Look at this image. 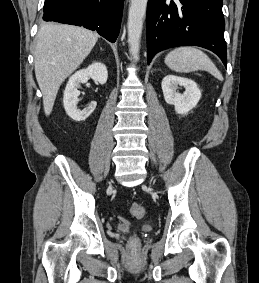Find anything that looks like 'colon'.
Here are the masks:
<instances>
[{
  "label": "colon",
  "mask_w": 259,
  "mask_h": 283,
  "mask_svg": "<svg viewBox=\"0 0 259 283\" xmlns=\"http://www.w3.org/2000/svg\"><path fill=\"white\" fill-rule=\"evenodd\" d=\"M130 210H131L132 215L135 216L136 218H141L145 214V207L141 203H133L131 205ZM130 243L131 245L136 246L139 243L138 237L133 236L130 239Z\"/></svg>",
  "instance_id": "obj_1"
}]
</instances>
